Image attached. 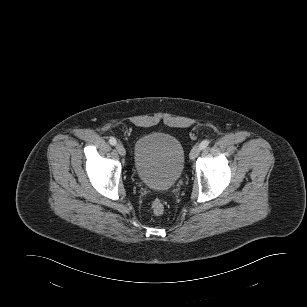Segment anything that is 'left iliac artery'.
<instances>
[{
	"mask_svg": "<svg viewBox=\"0 0 307 307\" xmlns=\"http://www.w3.org/2000/svg\"><path fill=\"white\" fill-rule=\"evenodd\" d=\"M209 145V141L208 140H204V141H202L201 143H200V148L201 149H204V148H206L207 146Z\"/></svg>",
	"mask_w": 307,
	"mask_h": 307,
	"instance_id": "44dca946",
	"label": "left iliac artery"
}]
</instances>
